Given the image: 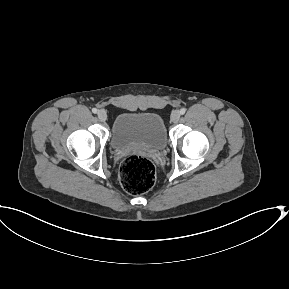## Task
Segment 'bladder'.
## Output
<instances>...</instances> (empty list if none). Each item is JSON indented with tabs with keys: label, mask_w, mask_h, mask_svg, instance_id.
Returning <instances> with one entry per match:
<instances>
[{
	"label": "bladder",
	"mask_w": 289,
	"mask_h": 289,
	"mask_svg": "<svg viewBox=\"0 0 289 289\" xmlns=\"http://www.w3.org/2000/svg\"><path fill=\"white\" fill-rule=\"evenodd\" d=\"M110 144L116 150L129 147L161 150L167 144L163 119L152 112L121 113L113 123Z\"/></svg>",
	"instance_id": "obj_1"
}]
</instances>
